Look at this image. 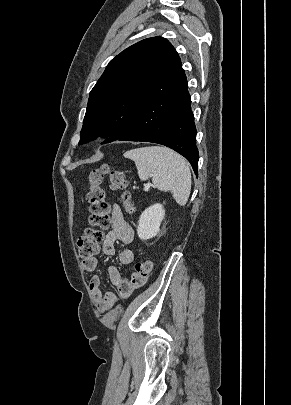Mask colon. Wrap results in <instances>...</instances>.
Masks as SVG:
<instances>
[{
	"label": "colon",
	"instance_id": "1",
	"mask_svg": "<svg viewBox=\"0 0 291 405\" xmlns=\"http://www.w3.org/2000/svg\"><path fill=\"white\" fill-rule=\"evenodd\" d=\"M109 174L110 187L114 190H124L127 180L124 172L104 164L91 170L87 176L89 192L87 201L89 203V227L77 241L78 255L82 260L93 258L99 251V246L104 239L103 230L109 225L110 206L106 198V191L102 184L104 176ZM122 202L127 212H133L128 192H123ZM153 270V262L146 260L137 263L134 267V274L138 279H146Z\"/></svg>",
	"mask_w": 291,
	"mask_h": 405
}]
</instances>
